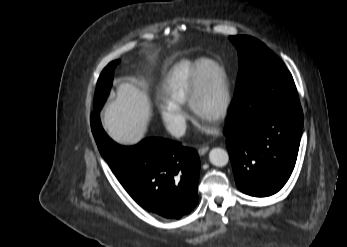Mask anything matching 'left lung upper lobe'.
Instances as JSON below:
<instances>
[{
	"instance_id": "5c2ea615",
	"label": "left lung upper lobe",
	"mask_w": 347,
	"mask_h": 247,
	"mask_svg": "<svg viewBox=\"0 0 347 247\" xmlns=\"http://www.w3.org/2000/svg\"><path fill=\"white\" fill-rule=\"evenodd\" d=\"M239 57L235 96L242 95L257 79L277 69H285L281 60L259 40L250 36H231Z\"/></svg>"
}]
</instances>
